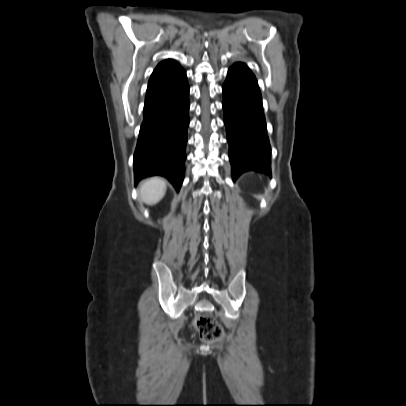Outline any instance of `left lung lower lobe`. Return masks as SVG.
<instances>
[{"mask_svg": "<svg viewBox=\"0 0 406 406\" xmlns=\"http://www.w3.org/2000/svg\"><path fill=\"white\" fill-rule=\"evenodd\" d=\"M224 123L232 176L245 171L271 174V148L256 77L242 63L234 64L223 85Z\"/></svg>", "mask_w": 406, "mask_h": 406, "instance_id": "0a47b994", "label": "left lung lower lobe"}]
</instances>
